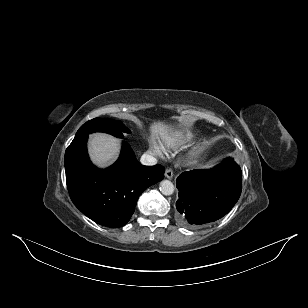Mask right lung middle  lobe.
<instances>
[{
	"label": "right lung middle lobe",
	"instance_id": "obj_1",
	"mask_svg": "<svg viewBox=\"0 0 308 308\" xmlns=\"http://www.w3.org/2000/svg\"><path fill=\"white\" fill-rule=\"evenodd\" d=\"M97 131L109 133L118 138H122L123 133H130V130L121 121L94 118L83 124L77 131L75 137Z\"/></svg>",
	"mask_w": 308,
	"mask_h": 308
}]
</instances>
